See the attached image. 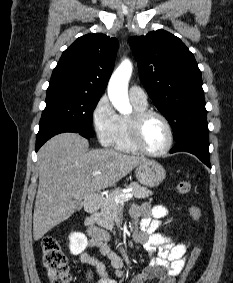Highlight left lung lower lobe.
I'll use <instances>...</instances> for the list:
<instances>
[{"label": "left lung lower lobe", "instance_id": "1", "mask_svg": "<svg viewBox=\"0 0 233 283\" xmlns=\"http://www.w3.org/2000/svg\"><path fill=\"white\" fill-rule=\"evenodd\" d=\"M186 151L196 155L204 164L211 168L208 133H193L176 142L170 153Z\"/></svg>", "mask_w": 233, "mask_h": 283}]
</instances>
